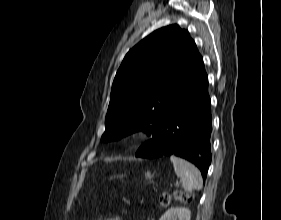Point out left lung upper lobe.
Here are the masks:
<instances>
[{
  "mask_svg": "<svg viewBox=\"0 0 281 220\" xmlns=\"http://www.w3.org/2000/svg\"><path fill=\"white\" fill-rule=\"evenodd\" d=\"M202 61L188 31L178 25L141 40L117 71L101 140H118L138 130L154 136L179 88Z\"/></svg>",
  "mask_w": 281,
  "mask_h": 220,
  "instance_id": "1",
  "label": "left lung upper lobe"
}]
</instances>
